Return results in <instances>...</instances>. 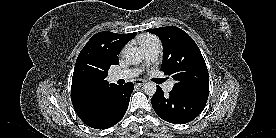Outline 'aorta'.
<instances>
[{
  "label": "aorta",
  "instance_id": "1",
  "mask_svg": "<svg viewBox=\"0 0 276 138\" xmlns=\"http://www.w3.org/2000/svg\"><path fill=\"white\" fill-rule=\"evenodd\" d=\"M142 57H143V53L137 47L132 46V47H128L125 50L126 61L131 65H136L140 63V61L142 60ZM143 90L145 94L149 96H153L157 90L156 83L154 82L145 83V85L143 86Z\"/></svg>",
  "mask_w": 276,
  "mask_h": 138
}]
</instances>
